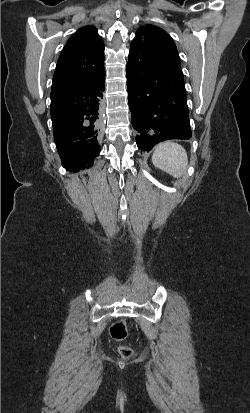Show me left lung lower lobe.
<instances>
[{"instance_id":"0a47b994","label":"left lung lower lobe","mask_w":250,"mask_h":413,"mask_svg":"<svg viewBox=\"0 0 250 413\" xmlns=\"http://www.w3.org/2000/svg\"><path fill=\"white\" fill-rule=\"evenodd\" d=\"M127 89L136 143L150 151L169 139H189L186 90L176 58L146 38L132 43L127 63Z\"/></svg>"}]
</instances>
